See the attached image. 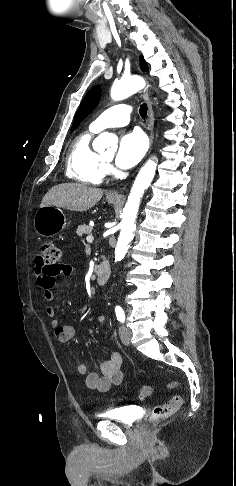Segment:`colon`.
<instances>
[{"label":"colon","mask_w":236,"mask_h":486,"mask_svg":"<svg viewBox=\"0 0 236 486\" xmlns=\"http://www.w3.org/2000/svg\"><path fill=\"white\" fill-rule=\"evenodd\" d=\"M41 253L42 255L40 258L47 267L53 268L59 264L58 261L61 256V250L56 244L52 242L45 243ZM168 387L170 389H176L179 387V384L177 382H171ZM152 393L153 388L151 386L143 385L139 388V396L141 398H147L151 396ZM183 401L182 396L175 395L169 402L155 406L152 410L150 422L155 423L172 416L182 406Z\"/></svg>","instance_id":"colon-1"}]
</instances>
